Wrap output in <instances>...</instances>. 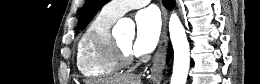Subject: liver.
I'll list each match as a JSON object with an SVG mask.
<instances>
[{"mask_svg":"<svg viewBox=\"0 0 260 84\" xmlns=\"http://www.w3.org/2000/svg\"><path fill=\"white\" fill-rule=\"evenodd\" d=\"M86 84H141V78L138 75H121L97 81H86Z\"/></svg>","mask_w":260,"mask_h":84,"instance_id":"6515ba94","label":"liver"}]
</instances>
